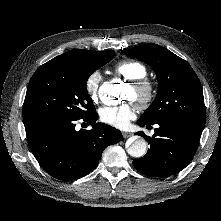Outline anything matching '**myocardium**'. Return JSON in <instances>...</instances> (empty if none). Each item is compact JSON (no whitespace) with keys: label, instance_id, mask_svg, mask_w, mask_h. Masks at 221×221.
<instances>
[{"label":"myocardium","instance_id":"1","mask_svg":"<svg viewBox=\"0 0 221 221\" xmlns=\"http://www.w3.org/2000/svg\"><path fill=\"white\" fill-rule=\"evenodd\" d=\"M130 86L135 91L134 100L141 108L145 109L153 102L155 97V85L150 79L143 77L132 80Z\"/></svg>","mask_w":221,"mask_h":221}]
</instances>
